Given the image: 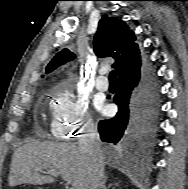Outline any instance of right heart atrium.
Listing matches in <instances>:
<instances>
[{"label":"right heart atrium","mask_w":188,"mask_h":189,"mask_svg":"<svg viewBox=\"0 0 188 189\" xmlns=\"http://www.w3.org/2000/svg\"><path fill=\"white\" fill-rule=\"evenodd\" d=\"M95 129L88 103L67 87H57L53 96L51 131L57 138L75 139Z\"/></svg>","instance_id":"1"}]
</instances>
